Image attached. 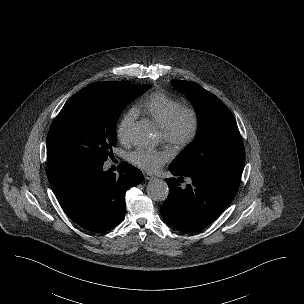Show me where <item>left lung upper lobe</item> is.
<instances>
[{"mask_svg":"<svg viewBox=\"0 0 304 304\" xmlns=\"http://www.w3.org/2000/svg\"><path fill=\"white\" fill-rule=\"evenodd\" d=\"M171 84L185 93L199 115L195 139L171 166L182 173L224 172L241 176L245 151L231 111L219 98L194 82L172 80Z\"/></svg>","mask_w":304,"mask_h":304,"instance_id":"5c2ea615","label":"left lung upper lobe"}]
</instances>
